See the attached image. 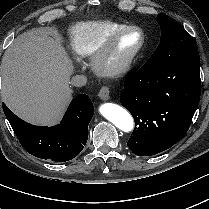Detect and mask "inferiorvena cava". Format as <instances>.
Instances as JSON below:
<instances>
[{"label": "inferior vena cava", "instance_id": "602c4592", "mask_svg": "<svg viewBox=\"0 0 209 209\" xmlns=\"http://www.w3.org/2000/svg\"><path fill=\"white\" fill-rule=\"evenodd\" d=\"M87 78L85 75H75L71 79V84L76 87H81L86 85Z\"/></svg>", "mask_w": 209, "mask_h": 209}]
</instances>
